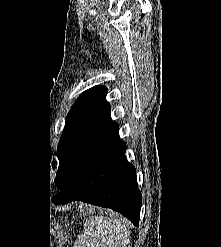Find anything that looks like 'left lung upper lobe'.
I'll return each instance as SVG.
<instances>
[{"label":"left lung upper lobe","mask_w":221,"mask_h":247,"mask_svg":"<svg viewBox=\"0 0 221 247\" xmlns=\"http://www.w3.org/2000/svg\"><path fill=\"white\" fill-rule=\"evenodd\" d=\"M106 94L105 86H94L78 97L68 113L57 148L59 168L54 180L61 190L77 176L98 137L115 124Z\"/></svg>","instance_id":"left-lung-upper-lobe-1"}]
</instances>
